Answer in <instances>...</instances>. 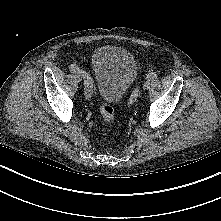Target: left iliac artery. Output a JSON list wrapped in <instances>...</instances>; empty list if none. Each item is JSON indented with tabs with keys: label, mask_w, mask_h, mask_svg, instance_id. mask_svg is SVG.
Wrapping results in <instances>:
<instances>
[{
	"label": "left iliac artery",
	"mask_w": 221,
	"mask_h": 221,
	"mask_svg": "<svg viewBox=\"0 0 221 221\" xmlns=\"http://www.w3.org/2000/svg\"><path fill=\"white\" fill-rule=\"evenodd\" d=\"M155 78H157V74L155 72L149 73L146 77V79H148V80H153ZM134 98H135V95L130 99L131 103L133 102Z\"/></svg>",
	"instance_id": "left-iliac-artery-1"
}]
</instances>
